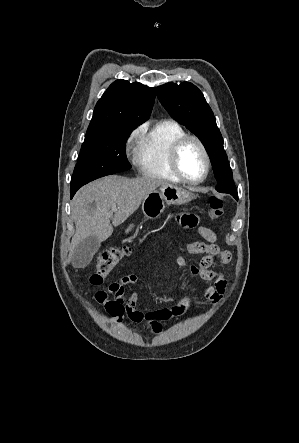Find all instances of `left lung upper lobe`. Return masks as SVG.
<instances>
[{"label": "left lung upper lobe", "mask_w": 299, "mask_h": 443, "mask_svg": "<svg viewBox=\"0 0 299 443\" xmlns=\"http://www.w3.org/2000/svg\"><path fill=\"white\" fill-rule=\"evenodd\" d=\"M157 96L169 114L204 144L218 182L216 190L222 193H237L232 170L223 148L222 135L201 91L189 82L180 85L169 82L157 87Z\"/></svg>", "instance_id": "obj_1"}]
</instances>
